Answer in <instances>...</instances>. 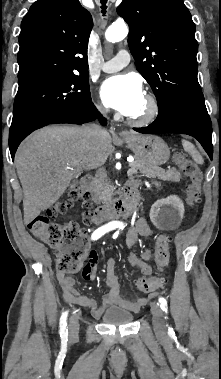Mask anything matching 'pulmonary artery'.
I'll use <instances>...</instances> for the list:
<instances>
[{"label": "pulmonary artery", "mask_w": 221, "mask_h": 379, "mask_svg": "<svg viewBox=\"0 0 221 379\" xmlns=\"http://www.w3.org/2000/svg\"><path fill=\"white\" fill-rule=\"evenodd\" d=\"M130 61V54L126 50H120L116 56L101 65L102 71L113 73L124 68Z\"/></svg>", "instance_id": "pulmonary-artery-1"}]
</instances>
